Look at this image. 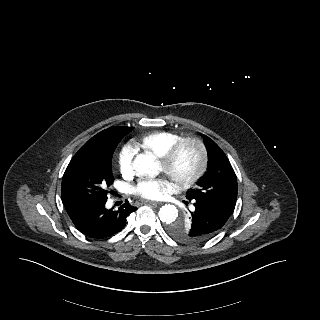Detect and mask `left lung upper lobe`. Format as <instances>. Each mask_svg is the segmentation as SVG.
<instances>
[{
	"label": "left lung upper lobe",
	"instance_id": "1",
	"mask_svg": "<svg viewBox=\"0 0 320 320\" xmlns=\"http://www.w3.org/2000/svg\"><path fill=\"white\" fill-rule=\"evenodd\" d=\"M208 153V169L195 189L189 191L186 198L202 201L231 216L237 199V178L225 153L209 137L202 135ZM192 216L176 219L169 224L168 231L173 238L183 243H198L192 235L194 229Z\"/></svg>",
	"mask_w": 320,
	"mask_h": 320
}]
</instances>
